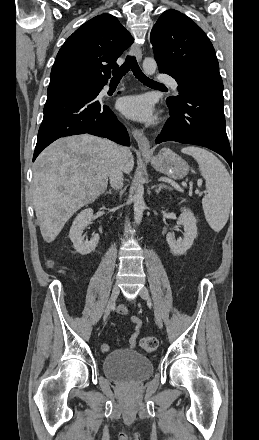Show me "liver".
Instances as JSON below:
<instances>
[{
  "instance_id": "obj_1",
  "label": "liver",
  "mask_w": 259,
  "mask_h": 440,
  "mask_svg": "<svg viewBox=\"0 0 259 440\" xmlns=\"http://www.w3.org/2000/svg\"><path fill=\"white\" fill-rule=\"evenodd\" d=\"M117 145L89 134L56 140L36 159L33 205L44 241L53 242L72 215L105 192ZM123 171L134 167L131 151L121 157Z\"/></svg>"
}]
</instances>
